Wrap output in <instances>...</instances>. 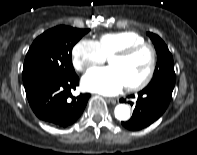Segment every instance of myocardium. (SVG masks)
Masks as SVG:
<instances>
[{
	"label": "myocardium",
	"mask_w": 197,
	"mask_h": 155,
	"mask_svg": "<svg viewBox=\"0 0 197 155\" xmlns=\"http://www.w3.org/2000/svg\"><path fill=\"white\" fill-rule=\"evenodd\" d=\"M143 50L148 51L149 55H150L149 69H148L146 75L143 77V79H141L139 82L134 83V84H130V85H126V88L129 91L141 90V89L145 88L152 80L155 70H156V65H157V54H156L155 48L148 43L135 44V45H131V46L122 48L120 50H117L116 52L111 54V56L109 58V60L112 57L127 58V57H130V56H132L140 51H143Z\"/></svg>",
	"instance_id": "myocardium-1"
}]
</instances>
